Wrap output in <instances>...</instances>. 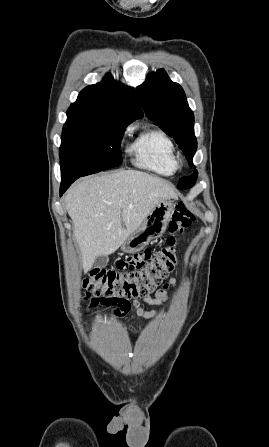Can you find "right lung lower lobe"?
Wrapping results in <instances>:
<instances>
[{"instance_id":"obj_1","label":"right lung lower lobe","mask_w":269,"mask_h":447,"mask_svg":"<svg viewBox=\"0 0 269 447\" xmlns=\"http://www.w3.org/2000/svg\"><path fill=\"white\" fill-rule=\"evenodd\" d=\"M100 172L97 169H88L86 166L78 164L63 165L61 164V176L62 183L60 187V196L66 191V189L80 176H85L93 173Z\"/></svg>"}]
</instances>
